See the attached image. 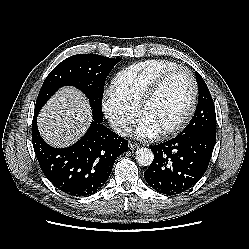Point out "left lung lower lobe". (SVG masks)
Masks as SVG:
<instances>
[{
  "mask_svg": "<svg viewBox=\"0 0 249 249\" xmlns=\"http://www.w3.org/2000/svg\"><path fill=\"white\" fill-rule=\"evenodd\" d=\"M215 141V133L194 131L150 146L154 160L144 172L146 182L157 192L167 195L190 189L205 173Z\"/></svg>",
  "mask_w": 249,
  "mask_h": 249,
  "instance_id": "0a47b994",
  "label": "left lung lower lobe"
}]
</instances>
